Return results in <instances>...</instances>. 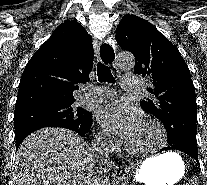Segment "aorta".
Here are the masks:
<instances>
[{
  "label": "aorta",
  "instance_id": "1",
  "mask_svg": "<svg viewBox=\"0 0 207 185\" xmlns=\"http://www.w3.org/2000/svg\"><path fill=\"white\" fill-rule=\"evenodd\" d=\"M116 64L119 68L124 70L132 69L135 64L134 56L130 53H120L116 57ZM119 183L125 184L124 181H120Z\"/></svg>",
  "mask_w": 207,
  "mask_h": 185
}]
</instances>
